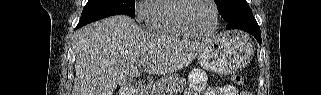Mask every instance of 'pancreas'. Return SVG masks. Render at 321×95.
<instances>
[{
    "label": "pancreas",
    "mask_w": 321,
    "mask_h": 95,
    "mask_svg": "<svg viewBox=\"0 0 321 95\" xmlns=\"http://www.w3.org/2000/svg\"><path fill=\"white\" fill-rule=\"evenodd\" d=\"M186 81L178 74H168L162 80L148 84L146 86V95H173L184 89Z\"/></svg>",
    "instance_id": "pancreas-1"
}]
</instances>
